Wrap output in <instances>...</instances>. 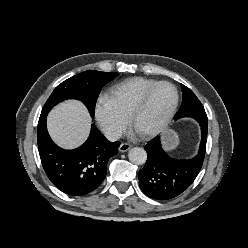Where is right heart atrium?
I'll return each instance as SVG.
<instances>
[{
  "instance_id": "right-heart-atrium-1",
  "label": "right heart atrium",
  "mask_w": 248,
  "mask_h": 248,
  "mask_svg": "<svg viewBox=\"0 0 248 248\" xmlns=\"http://www.w3.org/2000/svg\"><path fill=\"white\" fill-rule=\"evenodd\" d=\"M94 116L103 133L110 139L119 138L128 125V120L118 110L107 94H100L94 105Z\"/></svg>"
}]
</instances>
